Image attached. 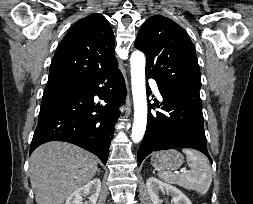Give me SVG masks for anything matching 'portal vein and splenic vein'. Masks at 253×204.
<instances>
[{"instance_id":"portal-vein-and-splenic-vein-1","label":"portal vein and splenic vein","mask_w":253,"mask_h":204,"mask_svg":"<svg viewBox=\"0 0 253 204\" xmlns=\"http://www.w3.org/2000/svg\"><path fill=\"white\" fill-rule=\"evenodd\" d=\"M180 172H182V173H185V172H187L185 169H182Z\"/></svg>"}]
</instances>
